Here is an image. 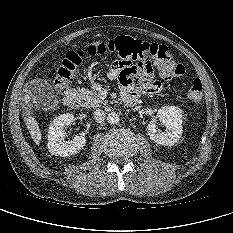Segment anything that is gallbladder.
<instances>
[{"instance_id":"gallbladder-1","label":"gallbladder","mask_w":233,"mask_h":233,"mask_svg":"<svg viewBox=\"0 0 233 233\" xmlns=\"http://www.w3.org/2000/svg\"><path fill=\"white\" fill-rule=\"evenodd\" d=\"M32 93L37 96L46 106L54 105L56 101L52 85L46 80L36 79L29 84Z\"/></svg>"}]
</instances>
